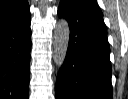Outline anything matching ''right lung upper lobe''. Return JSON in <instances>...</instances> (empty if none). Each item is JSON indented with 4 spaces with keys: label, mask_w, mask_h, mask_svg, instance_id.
<instances>
[{
    "label": "right lung upper lobe",
    "mask_w": 128,
    "mask_h": 99,
    "mask_svg": "<svg viewBox=\"0 0 128 99\" xmlns=\"http://www.w3.org/2000/svg\"><path fill=\"white\" fill-rule=\"evenodd\" d=\"M28 6L27 0H0V25Z\"/></svg>",
    "instance_id": "obj_1"
}]
</instances>
